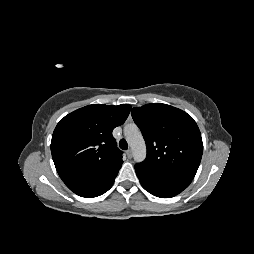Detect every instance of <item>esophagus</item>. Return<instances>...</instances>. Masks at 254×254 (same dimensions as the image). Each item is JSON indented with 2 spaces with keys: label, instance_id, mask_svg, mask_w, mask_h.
<instances>
[{
  "label": "esophagus",
  "instance_id": "esophagus-1",
  "mask_svg": "<svg viewBox=\"0 0 254 254\" xmlns=\"http://www.w3.org/2000/svg\"><path fill=\"white\" fill-rule=\"evenodd\" d=\"M126 154H127V157H128L129 159H131L132 156H133V153H132V150H131V149L127 150Z\"/></svg>",
  "mask_w": 254,
  "mask_h": 254
}]
</instances>
